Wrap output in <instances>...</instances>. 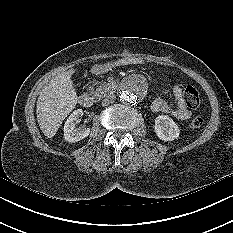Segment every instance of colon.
Wrapping results in <instances>:
<instances>
[{
    "label": "colon",
    "mask_w": 233,
    "mask_h": 233,
    "mask_svg": "<svg viewBox=\"0 0 233 233\" xmlns=\"http://www.w3.org/2000/svg\"><path fill=\"white\" fill-rule=\"evenodd\" d=\"M184 100L188 107L196 109L201 105L200 93L196 87L192 85L186 86L184 90ZM204 119L202 116H195L191 119L189 126L191 129H199L203 126Z\"/></svg>",
    "instance_id": "obj_1"
}]
</instances>
